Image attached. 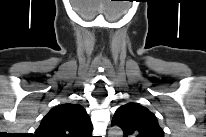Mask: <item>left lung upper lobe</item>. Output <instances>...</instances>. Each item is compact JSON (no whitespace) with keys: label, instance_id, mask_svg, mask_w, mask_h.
<instances>
[{"label":"left lung upper lobe","instance_id":"left-lung-upper-lobe-1","mask_svg":"<svg viewBox=\"0 0 206 137\" xmlns=\"http://www.w3.org/2000/svg\"><path fill=\"white\" fill-rule=\"evenodd\" d=\"M112 125H118L125 137H164L156 116L137 103L119 107L113 116Z\"/></svg>","mask_w":206,"mask_h":137}]
</instances>
